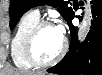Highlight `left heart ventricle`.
<instances>
[{"mask_svg": "<svg viewBox=\"0 0 102 75\" xmlns=\"http://www.w3.org/2000/svg\"><path fill=\"white\" fill-rule=\"evenodd\" d=\"M63 37L54 26L42 29L35 40L34 49L37 57L42 61L52 60L61 50Z\"/></svg>", "mask_w": 102, "mask_h": 75, "instance_id": "obj_1", "label": "left heart ventricle"}]
</instances>
